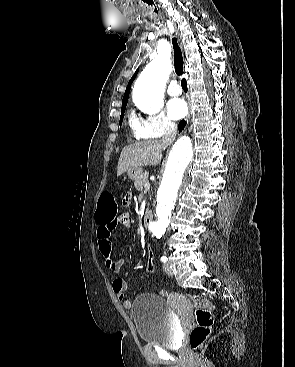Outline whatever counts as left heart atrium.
Listing matches in <instances>:
<instances>
[{
	"instance_id": "1",
	"label": "left heart atrium",
	"mask_w": 295,
	"mask_h": 367,
	"mask_svg": "<svg viewBox=\"0 0 295 367\" xmlns=\"http://www.w3.org/2000/svg\"><path fill=\"white\" fill-rule=\"evenodd\" d=\"M168 112L171 118L177 120L187 113V105L182 99H172L168 103Z\"/></svg>"
}]
</instances>
